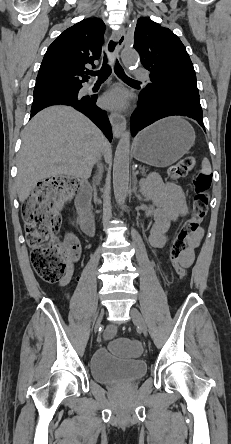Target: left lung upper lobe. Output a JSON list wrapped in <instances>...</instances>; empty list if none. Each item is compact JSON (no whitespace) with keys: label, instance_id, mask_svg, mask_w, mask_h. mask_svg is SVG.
Instances as JSON below:
<instances>
[{"label":"left lung upper lobe","instance_id":"obj_1","mask_svg":"<svg viewBox=\"0 0 231 444\" xmlns=\"http://www.w3.org/2000/svg\"><path fill=\"white\" fill-rule=\"evenodd\" d=\"M134 48L139 52L143 66L151 72L152 83L142 89L143 93L199 100L191 59L183 43L170 29L146 17L139 18Z\"/></svg>","mask_w":231,"mask_h":444}]
</instances>
